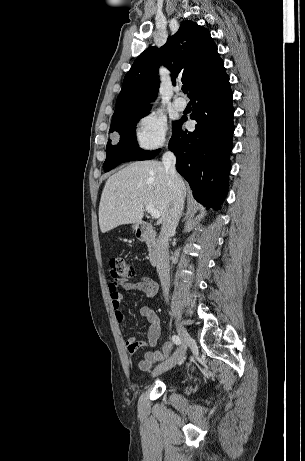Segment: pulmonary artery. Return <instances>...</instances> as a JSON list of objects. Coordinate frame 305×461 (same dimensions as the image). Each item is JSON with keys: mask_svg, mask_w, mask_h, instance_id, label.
Returning a JSON list of instances; mask_svg holds the SVG:
<instances>
[{"mask_svg": "<svg viewBox=\"0 0 305 461\" xmlns=\"http://www.w3.org/2000/svg\"><path fill=\"white\" fill-rule=\"evenodd\" d=\"M186 105H187V102L182 97H177L173 102L174 108L178 111H183L186 108Z\"/></svg>", "mask_w": 305, "mask_h": 461, "instance_id": "1", "label": "pulmonary artery"}]
</instances>
